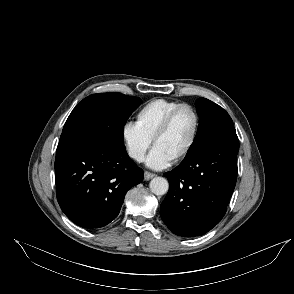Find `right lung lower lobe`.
<instances>
[{
	"label": "right lung lower lobe",
	"mask_w": 294,
	"mask_h": 294,
	"mask_svg": "<svg viewBox=\"0 0 294 294\" xmlns=\"http://www.w3.org/2000/svg\"><path fill=\"white\" fill-rule=\"evenodd\" d=\"M142 180L143 171L120 142L74 144L56 153L58 203L72 222L84 228L114 220L127 191Z\"/></svg>",
	"instance_id": "1"
}]
</instances>
